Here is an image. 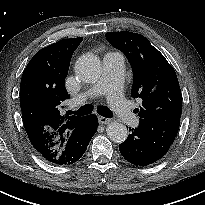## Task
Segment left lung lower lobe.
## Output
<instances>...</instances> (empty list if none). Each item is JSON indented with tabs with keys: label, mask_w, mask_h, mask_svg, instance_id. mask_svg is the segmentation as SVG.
I'll return each instance as SVG.
<instances>
[{
	"label": "left lung lower lobe",
	"mask_w": 205,
	"mask_h": 205,
	"mask_svg": "<svg viewBox=\"0 0 205 205\" xmlns=\"http://www.w3.org/2000/svg\"><path fill=\"white\" fill-rule=\"evenodd\" d=\"M179 124L180 120H140L137 128H129L130 134L119 145V150L131 164L137 166L150 165L168 152L177 136Z\"/></svg>",
	"instance_id": "left-lung-lower-lobe-1"
}]
</instances>
